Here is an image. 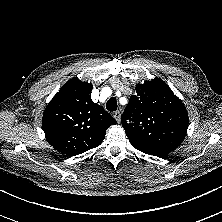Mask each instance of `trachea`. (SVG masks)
Returning <instances> with one entry per match:
<instances>
[{"label": "trachea", "instance_id": "1", "mask_svg": "<svg viewBox=\"0 0 222 222\" xmlns=\"http://www.w3.org/2000/svg\"><path fill=\"white\" fill-rule=\"evenodd\" d=\"M117 107H118L117 101L114 97L110 98L106 103V109L108 111H111V112L116 111Z\"/></svg>", "mask_w": 222, "mask_h": 222}]
</instances>
